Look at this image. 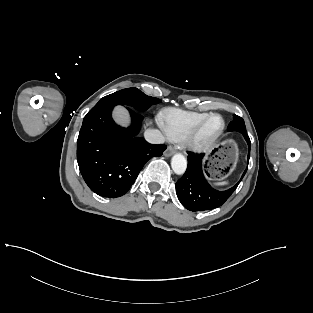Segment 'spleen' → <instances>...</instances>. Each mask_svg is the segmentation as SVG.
Segmentation results:
<instances>
[{
  "mask_svg": "<svg viewBox=\"0 0 313 313\" xmlns=\"http://www.w3.org/2000/svg\"><path fill=\"white\" fill-rule=\"evenodd\" d=\"M215 186H224V185H227L228 182L227 181H223V182H216V183H213Z\"/></svg>",
  "mask_w": 313,
  "mask_h": 313,
  "instance_id": "3e777b00",
  "label": "spleen"
}]
</instances>
